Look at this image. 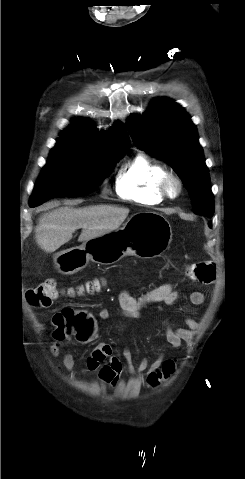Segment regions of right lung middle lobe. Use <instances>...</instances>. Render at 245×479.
I'll use <instances>...</instances> for the list:
<instances>
[{"mask_svg": "<svg viewBox=\"0 0 245 479\" xmlns=\"http://www.w3.org/2000/svg\"><path fill=\"white\" fill-rule=\"evenodd\" d=\"M125 152L89 149L80 144L57 141L33 190L30 205L35 207L51 198L93 192Z\"/></svg>", "mask_w": 245, "mask_h": 479, "instance_id": "obj_1", "label": "right lung middle lobe"}]
</instances>
